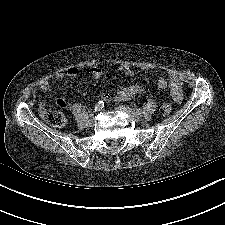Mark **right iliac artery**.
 <instances>
[{
  "instance_id": "obj_1",
  "label": "right iliac artery",
  "mask_w": 225,
  "mask_h": 225,
  "mask_svg": "<svg viewBox=\"0 0 225 225\" xmlns=\"http://www.w3.org/2000/svg\"><path fill=\"white\" fill-rule=\"evenodd\" d=\"M103 107H104V102L103 101H98L95 104L94 111L95 112L100 111Z\"/></svg>"
}]
</instances>
